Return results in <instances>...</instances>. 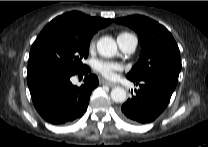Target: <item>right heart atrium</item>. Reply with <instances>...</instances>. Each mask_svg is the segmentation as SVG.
<instances>
[{"label": "right heart atrium", "instance_id": "obj_1", "mask_svg": "<svg viewBox=\"0 0 208 147\" xmlns=\"http://www.w3.org/2000/svg\"><path fill=\"white\" fill-rule=\"evenodd\" d=\"M89 46L91 49L94 48V46H95V39L94 38L90 41Z\"/></svg>", "mask_w": 208, "mask_h": 147}]
</instances>
